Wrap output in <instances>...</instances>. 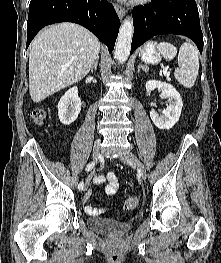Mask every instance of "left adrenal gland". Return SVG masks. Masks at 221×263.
<instances>
[{
	"label": "left adrenal gland",
	"mask_w": 221,
	"mask_h": 263,
	"mask_svg": "<svg viewBox=\"0 0 221 263\" xmlns=\"http://www.w3.org/2000/svg\"><path fill=\"white\" fill-rule=\"evenodd\" d=\"M140 69H142L143 71H145V72H147L148 71V67L147 66H144V65H141V64H139V66H138V72L140 71Z\"/></svg>",
	"instance_id": "a2214340"
}]
</instances>
